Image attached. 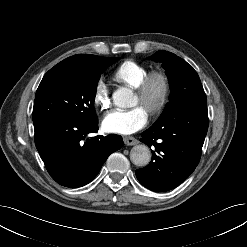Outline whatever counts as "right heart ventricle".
Masks as SVG:
<instances>
[{"mask_svg":"<svg viewBox=\"0 0 247 247\" xmlns=\"http://www.w3.org/2000/svg\"><path fill=\"white\" fill-rule=\"evenodd\" d=\"M148 73L149 69L145 65L126 60L115 69L113 77L120 83L136 88Z\"/></svg>","mask_w":247,"mask_h":247,"instance_id":"e07e8e85","label":"right heart ventricle"}]
</instances>
